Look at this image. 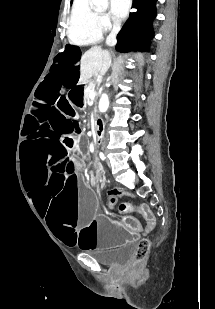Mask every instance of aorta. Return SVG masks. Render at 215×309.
<instances>
[{
    "label": "aorta",
    "mask_w": 215,
    "mask_h": 309,
    "mask_svg": "<svg viewBox=\"0 0 215 309\" xmlns=\"http://www.w3.org/2000/svg\"><path fill=\"white\" fill-rule=\"evenodd\" d=\"M90 4L91 6H94V8H101V10H105L108 6V0H91ZM98 106L100 112H106L109 106L108 94H102Z\"/></svg>",
    "instance_id": "obj_1"
}]
</instances>
